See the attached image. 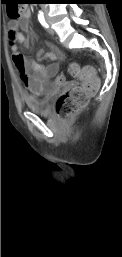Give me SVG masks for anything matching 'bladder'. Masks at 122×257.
Segmentation results:
<instances>
[{
    "label": "bladder",
    "instance_id": "1",
    "mask_svg": "<svg viewBox=\"0 0 122 257\" xmlns=\"http://www.w3.org/2000/svg\"><path fill=\"white\" fill-rule=\"evenodd\" d=\"M50 97H30L25 100L27 107L38 115H47L50 112Z\"/></svg>",
    "mask_w": 122,
    "mask_h": 257
}]
</instances>
